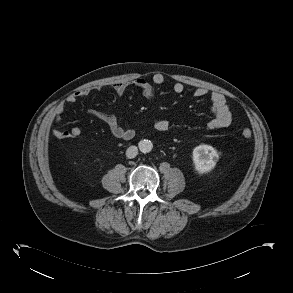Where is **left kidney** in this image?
<instances>
[{
    "label": "left kidney",
    "mask_w": 293,
    "mask_h": 293,
    "mask_svg": "<svg viewBox=\"0 0 293 293\" xmlns=\"http://www.w3.org/2000/svg\"><path fill=\"white\" fill-rule=\"evenodd\" d=\"M219 159L218 152L210 145H199L193 149V162L198 173L204 174L214 169Z\"/></svg>",
    "instance_id": "obj_1"
}]
</instances>
